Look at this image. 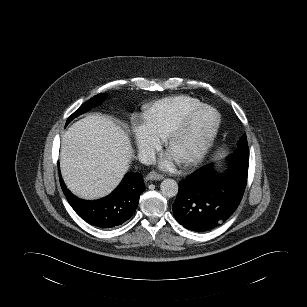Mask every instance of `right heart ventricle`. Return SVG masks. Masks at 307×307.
<instances>
[{"label":"right heart ventricle","instance_id":"e07e8e85","mask_svg":"<svg viewBox=\"0 0 307 307\" xmlns=\"http://www.w3.org/2000/svg\"><path fill=\"white\" fill-rule=\"evenodd\" d=\"M201 104L189 95H177L157 100L146 106L143 125L158 141H164L182 116L191 108Z\"/></svg>","mask_w":307,"mask_h":307}]
</instances>
